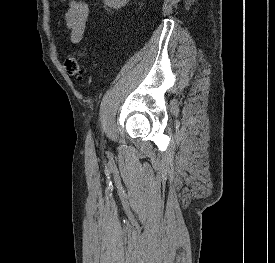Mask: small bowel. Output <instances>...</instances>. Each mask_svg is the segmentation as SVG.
Listing matches in <instances>:
<instances>
[{
  "instance_id": "obj_1",
  "label": "small bowel",
  "mask_w": 275,
  "mask_h": 263,
  "mask_svg": "<svg viewBox=\"0 0 275 263\" xmlns=\"http://www.w3.org/2000/svg\"><path fill=\"white\" fill-rule=\"evenodd\" d=\"M89 17L88 5L81 0H70L65 14V24L70 31L73 44H78L84 36Z\"/></svg>"
}]
</instances>
